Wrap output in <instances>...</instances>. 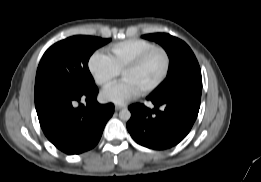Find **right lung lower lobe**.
Segmentation results:
<instances>
[{
	"label": "right lung lower lobe",
	"instance_id": "98d812e1",
	"mask_svg": "<svg viewBox=\"0 0 261 182\" xmlns=\"http://www.w3.org/2000/svg\"><path fill=\"white\" fill-rule=\"evenodd\" d=\"M98 89L80 96L64 87H49L35 93V107L41 128L48 140L66 154L92 149L100 140L114 105H101ZM85 99L86 106L76 102Z\"/></svg>",
	"mask_w": 261,
	"mask_h": 182
}]
</instances>
